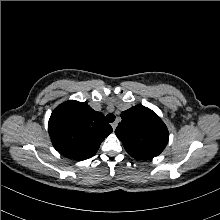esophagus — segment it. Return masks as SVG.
Listing matches in <instances>:
<instances>
[{
  "mask_svg": "<svg viewBox=\"0 0 220 220\" xmlns=\"http://www.w3.org/2000/svg\"><path fill=\"white\" fill-rule=\"evenodd\" d=\"M117 125H118V124H117V122H114V123H112V124H111V126H112L113 130H115V129H116Z\"/></svg>",
  "mask_w": 220,
  "mask_h": 220,
  "instance_id": "esophagus-1",
  "label": "esophagus"
}]
</instances>
